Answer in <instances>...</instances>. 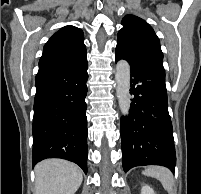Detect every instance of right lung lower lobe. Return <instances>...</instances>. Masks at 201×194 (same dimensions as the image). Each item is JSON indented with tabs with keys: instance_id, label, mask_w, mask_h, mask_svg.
I'll return each mask as SVG.
<instances>
[{
	"instance_id": "obj_1",
	"label": "right lung lower lobe",
	"mask_w": 201,
	"mask_h": 194,
	"mask_svg": "<svg viewBox=\"0 0 201 194\" xmlns=\"http://www.w3.org/2000/svg\"><path fill=\"white\" fill-rule=\"evenodd\" d=\"M87 69L88 64L73 70L37 73L34 165L46 158H61L78 164L87 173Z\"/></svg>"
}]
</instances>
